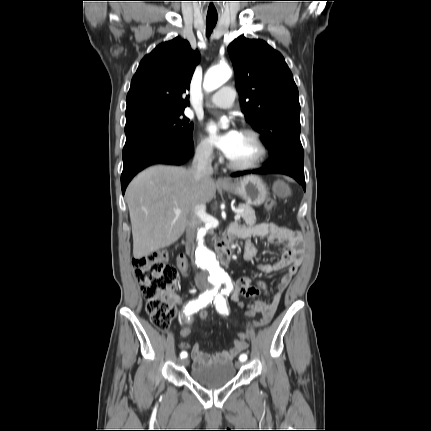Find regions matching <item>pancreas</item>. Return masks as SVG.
I'll list each match as a JSON object with an SVG mask.
<instances>
[{"mask_svg": "<svg viewBox=\"0 0 431 431\" xmlns=\"http://www.w3.org/2000/svg\"><path fill=\"white\" fill-rule=\"evenodd\" d=\"M238 208L241 210V217L247 225H254L256 223L255 211L247 204H239Z\"/></svg>", "mask_w": 431, "mask_h": 431, "instance_id": "cf45deb5", "label": "pancreas"}]
</instances>
